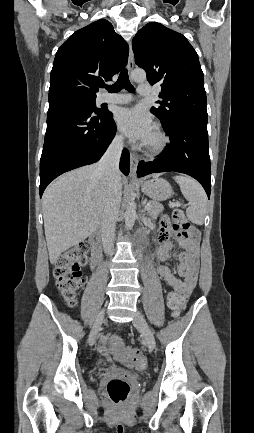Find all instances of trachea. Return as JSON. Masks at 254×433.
Instances as JSON below:
<instances>
[{
  "instance_id": "trachea-1",
  "label": "trachea",
  "mask_w": 254,
  "mask_h": 433,
  "mask_svg": "<svg viewBox=\"0 0 254 433\" xmlns=\"http://www.w3.org/2000/svg\"><path fill=\"white\" fill-rule=\"evenodd\" d=\"M102 88H106L108 92L110 93H117L119 92L123 87L128 90L129 92L134 91L133 85L129 81L128 77V71L126 69L122 70L118 80L113 85H102Z\"/></svg>"
}]
</instances>
